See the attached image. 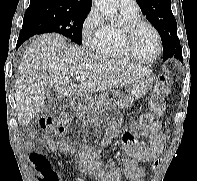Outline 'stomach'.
Here are the masks:
<instances>
[{"mask_svg": "<svg viewBox=\"0 0 197 181\" xmlns=\"http://www.w3.org/2000/svg\"><path fill=\"white\" fill-rule=\"evenodd\" d=\"M154 79L151 73H146L132 82L128 90L124 93L116 90H107L95 98H83L82 107L88 112H100L109 106L115 110L130 108L134 101L146 95L152 88Z\"/></svg>", "mask_w": 197, "mask_h": 181, "instance_id": "stomach-1", "label": "stomach"}]
</instances>
